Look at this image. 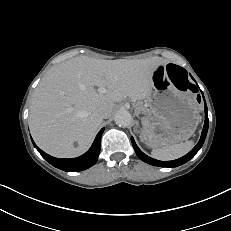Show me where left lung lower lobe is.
<instances>
[{"instance_id":"1","label":"left lung lower lobe","mask_w":231,"mask_h":231,"mask_svg":"<svg viewBox=\"0 0 231 231\" xmlns=\"http://www.w3.org/2000/svg\"><path fill=\"white\" fill-rule=\"evenodd\" d=\"M204 98V97H203ZM208 124H209V119H208V110H207V106L205 103V123H204V127L202 130V134H201V138L198 142V144L185 156L177 159V160H173V161H159L156 159H153L151 157H148L146 154H144L139 147L136 145L133 137H131V141H132V145L133 148L137 154V156L144 162L154 165V166H159V167H177L180 166L184 163H186L187 161H189L192 157L195 156V154L199 151V149L202 147L206 135H207V131H208Z\"/></svg>"}]
</instances>
